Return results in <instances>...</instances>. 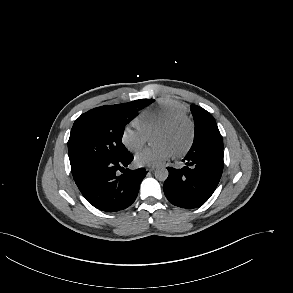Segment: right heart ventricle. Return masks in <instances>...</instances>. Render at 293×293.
I'll list each match as a JSON object with an SVG mask.
<instances>
[{
	"mask_svg": "<svg viewBox=\"0 0 293 293\" xmlns=\"http://www.w3.org/2000/svg\"><path fill=\"white\" fill-rule=\"evenodd\" d=\"M180 115H187L183 104L172 100L160 101L145 108L135 120V125L147 134Z\"/></svg>",
	"mask_w": 293,
	"mask_h": 293,
	"instance_id": "right-heart-ventricle-1",
	"label": "right heart ventricle"
}]
</instances>
